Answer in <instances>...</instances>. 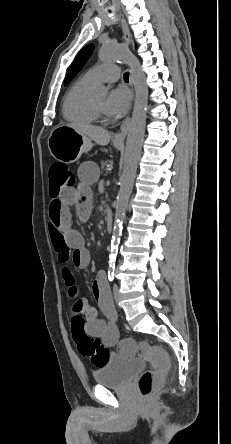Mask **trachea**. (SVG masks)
<instances>
[{
  "label": "trachea",
  "mask_w": 231,
  "mask_h": 444,
  "mask_svg": "<svg viewBox=\"0 0 231 444\" xmlns=\"http://www.w3.org/2000/svg\"><path fill=\"white\" fill-rule=\"evenodd\" d=\"M123 78H124L125 81H128V80H129V72H126V73L123 75Z\"/></svg>",
  "instance_id": "trachea-1"
}]
</instances>
